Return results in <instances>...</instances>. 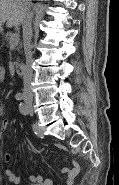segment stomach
Instances as JSON below:
<instances>
[{
    "mask_svg": "<svg viewBox=\"0 0 119 185\" xmlns=\"http://www.w3.org/2000/svg\"><path fill=\"white\" fill-rule=\"evenodd\" d=\"M2 31V27L0 26V32Z\"/></svg>",
    "mask_w": 119,
    "mask_h": 185,
    "instance_id": "stomach-1",
    "label": "stomach"
}]
</instances>
